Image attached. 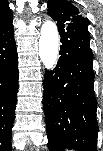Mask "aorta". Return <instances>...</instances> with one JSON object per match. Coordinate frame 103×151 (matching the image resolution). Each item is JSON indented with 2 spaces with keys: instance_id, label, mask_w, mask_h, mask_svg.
I'll return each instance as SVG.
<instances>
[{
  "instance_id": "aorta-1",
  "label": "aorta",
  "mask_w": 103,
  "mask_h": 151,
  "mask_svg": "<svg viewBox=\"0 0 103 151\" xmlns=\"http://www.w3.org/2000/svg\"><path fill=\"white\" fill-rule=\"evenodd\" d=\"M59 53V33L52 21H46L40 30L39 56L48 70L55 67Z\"/></svg>"
}]
</instances>
